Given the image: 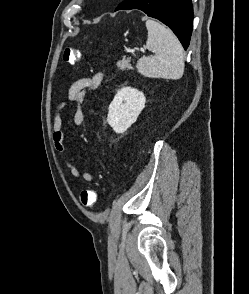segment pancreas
Instances as JSON below:
<instances>
[{
	"instance_id": "cf45deb5",
	"label": "pancreas",
	"mask_w": 249,
	"mask_h": 294,
	"mask_svg": "<svg viewBox=\"0 0 249 294\" xmlns=\"http://www.w3.org/2000/svg\"><path fill=\"white\" fill-rule=\"evenodd\" d=\"M129 62H130V58L126 59L125 57H123L121 61L117 62V67L122 71L131 69L132 67Z\"/></svg>"
}]
</instances>
